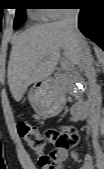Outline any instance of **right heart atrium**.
Here are the masks:
<instances>
[{
	"instance_id": "d8ad5b80",
	"label": "right heart atrium",
	"mask_w": 104,
	"mask_h": 169,
	"mask_svg": "<svg viewBox=\"0 0 104 169\" xmlns=\"http://www.w3.org/2000/svg\"><path fill=\"white\" fill-rule=\"evenodd\" d=\"M48 12L45 16L46 19L50 20H57L62 19L69 13L73 11V9H63V8H52V9H46Z\"/></svg>"
}]
</instances>
